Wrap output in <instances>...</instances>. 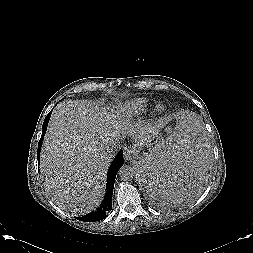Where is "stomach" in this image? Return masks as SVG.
Masks as SVG:
<instances>
[{
  "mask_svg": "<svg viewBox=\"0 0 253 253\" xmlns=\"http://www.w3.org/2000/svg\"><path fill=\"white\" fill-rule=\"evenodd\" d=\"M163 138L158 136V134H154L148 142H151L154 140V147L149 152L145 153L142 157L139 158V161L137 162V172H138V180L139 182L146 186V181L144 179V175L146 171L150 168V166L157 160V148L159 143L162 141ZM202 185V184H201ZM202 186L199 187V189L196 191H200ZM195 192V193H196ZM195 193H193L195 195Z\"/></svg>",
  "mask_w": 253,
  "mask_h": 253,
  "instance_id": "0dacf381",
  "label": "stomach"
}]
</instances>
